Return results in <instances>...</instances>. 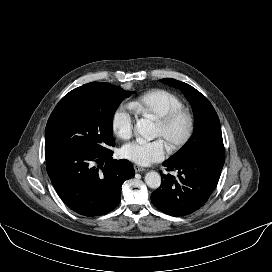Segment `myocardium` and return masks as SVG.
I'll use <instances>...</instances> for the list:
<instances>
[{
    "mask_svg": "<svg viewBox=\"0 0 272 272\" xmlns=\"http://www.w3.org/2000/svg\"><path fill=\"white\" fill-rule=\"evenodd\" d=\"M184 119L186 122V129L184 134L178 140L171 142L168 149L175 152L182 148L192 137L195 129V120L192 113L185 108H177L169 111L164 116L157 120V124L164 130L170 128L177 120Z\"/></svg>",
    "mask_w": 272,
    "mask_h": 272,
    "instance_id": "obj_1",
    "label": "myocardium"
}]
</instances>
